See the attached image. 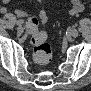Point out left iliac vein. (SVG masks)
<instances>
[{"instance_id":"4c4485c4","label":"left iliac vein","mask_w":91,"mask_h":91,"mask_svg":"<svg viewBox=\"0 0 91 91\" xmlns=\"http://www.w3.org/2000/svg\"><path fill=\"white\" fill-rule=\"evenodd\" d=\"M70 34L73 37H77L79 35V32L76 29H71L70 30Z\"/></svg>"}]
</instances>
